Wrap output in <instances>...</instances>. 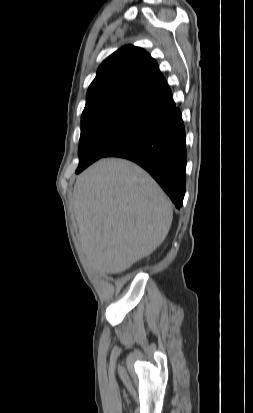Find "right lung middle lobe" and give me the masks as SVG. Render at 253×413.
I'll use <instances>...</instances> for the list:
<instances>
[{
    "label": "right lung middle lobe",
    "instance_id": "right-lung-middle-lobe-1",
    "mask_svg": "<svg viewBox=\"0 0 253 413\" xmlns=\"http://www.w3.org/2000/svg\"><path fill=\"white\" fill-rule=\"evenodd\" d=\"M157 119L158 117L125 108H112L82 116L79 166L76 173L146 130Z\"/></svg>",
    "mask_w": 253,
    "mask_h": 413
}]
</instances>
